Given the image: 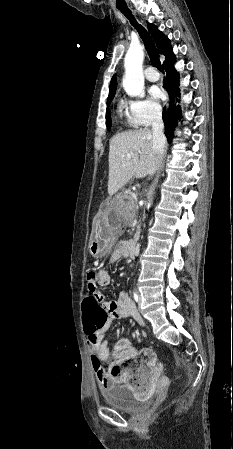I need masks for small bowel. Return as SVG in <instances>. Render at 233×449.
<instances>
[{"mask_svg": "<svg viewBox=\"0 0 233 449\" xmlns=\"http://www.w3.org/2000/svg\"><path fill=\"white\" fill-rule=\"evenodd\" d=\"M125 255L126 252L122 247L112 254L110 262L114 263ZM110 282L111 275L107 270H88L87 291L89 294L94 295L93 301L105 308V313L108 315L105 318V328L83 327L87 336L92 367L102 388L109 387L112 383H122L128 380L130 390H134V399H149L150 394L156 393V377H163L164 375L163 365L162 363H156V354L151 349H138L131 342H121L116 347L109 369L107 370L103 365V362L109 355L106 337L111 322L134 315L135 308L132 299L125 291L119 294L117 301L104 299L103 292L99 286H108ZM135 358H139L140 362L136 375H132V371L125 368V365Z\"/></svg>", "mask_w": 233, "mask_h": 449, "instance_id": "c3829d8e", "label": "small bowel"}]
</instances>
